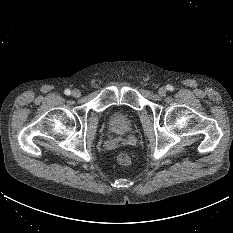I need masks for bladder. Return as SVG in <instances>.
<instances>
[{
    "instance_id": "obj_1",
    "label": "bladder",
    "mask_w": 233,
    "mask_h": 233,
    "mask_svg": "<svg viewBox=\"0 0 233 233\" xmlns=\"http://www.w3.org/2000/svg\"><path fill=\"white\" fill-rule=\"evenodd\" d=\"M110 126L117 135H124L132 128V120L126 114L120 111H114L110 117Z\"/></svg>"
}]
</instances>
